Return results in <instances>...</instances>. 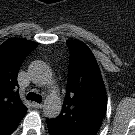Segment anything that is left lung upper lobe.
<instances>
[{"mask_svg": "<svg viewBox=\"0 0 135 135\" xmlns=\"http://www.w3.org/2000/svg\"><path fill=\"white\" fill-rule=\"evenodd\" d=\"M70 63L61 113L48 119L61 135H94L107 110L106 91L91 50L80 41H67Z\"/></svg>", "mask_w": 135, "mask_h": 135, "instance_id": "5c2ea615", "label": "left lung upper lobe"}]
</instances>
